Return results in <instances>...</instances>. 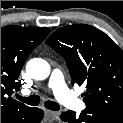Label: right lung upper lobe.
Masks as SVG:
<instances>
[{
    "label": "right lung upper lobe",
    "mask_w": 123,
    "mask_h": 123,
    "mask_svg": "<svg viewBox=\"0 0 123 123\" xmlns=\"http://www.w3.org/2000/svg\"><path fill=\"white\" fill-rule=\"evenodd\" d=\"M50 33L48 28L6 26L1 28V118L28 106L12 98L19 90V74L29 54Z\"/></svg>",
    "instance_id": "obj_1"
}]
</instances>
